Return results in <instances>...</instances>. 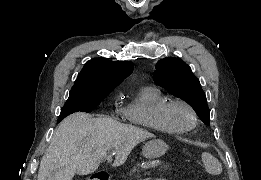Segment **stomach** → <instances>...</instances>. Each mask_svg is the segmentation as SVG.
<instances>
[{
  "mask_svg": "<svg viewBox=\"0 0 261 180\" xmlns=\"http://www.w3.org/2000/svg\"><path fill=\"white\" fill-rule=\"evenodd\" d=\"M168 150V145L161 139H153L144 144L142 154L145 158L155 159L163 156Z\"/></svg>",
  "mask_w": 261,
  "mask_h": 180,
  "instance_id": "1",
  "label": "stomach"
}]
</instances>
